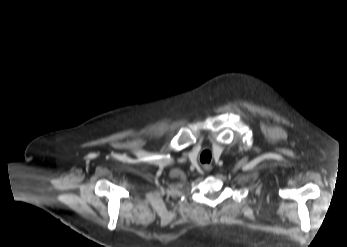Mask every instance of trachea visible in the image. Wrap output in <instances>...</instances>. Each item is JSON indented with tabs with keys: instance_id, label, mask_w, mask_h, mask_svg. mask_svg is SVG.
Wrapping results in <instances>:
<instances>
[{
	"instance_id": "3493384b",
	"label": "trachea",
	"mask_w": 347,
	"mask_h": 247,
	"mask_svg": "<svg viewBox=\"0 0 347 247\" xmlns=\"http://www.w3.org/2000/svg\"><path fill=\"white\" fill-rule=\"evenodd\" d=\"M200 159L202 162L209 163L211 161V153L207 150L203 151L201 156H200Z\"/></svg>"
}]
</instances>
